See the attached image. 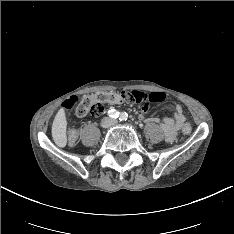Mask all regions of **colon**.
<instances>
[{
  "mask_svg": "<svg viewBox=\"0 0 234 234\" xmlns=\"http://www.w3.org/2000/svg\"><path fill=\"white\" fill-rule=\"evenodd\" d=\"M165 99V94L162 92H152L147 94L142 91H114V92H97L91 95L83 97H72L67 103L66 107L72 109L75 107L76 114L79 117L84 116H99L104 111L105 104H144V107H148L150 103L161 102ZM183 134H189L191 132V125L186 123L182 129ZM79 138V132L77 129H70L68 131L67 139L70 146L75 145Z\"/></svg>",
  "mask_w": 234,
  "mask_h": 234,
  "instance_id": "obj_1",
  "label": "colon"
}]
</instances>
